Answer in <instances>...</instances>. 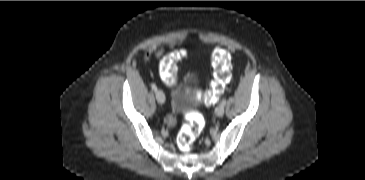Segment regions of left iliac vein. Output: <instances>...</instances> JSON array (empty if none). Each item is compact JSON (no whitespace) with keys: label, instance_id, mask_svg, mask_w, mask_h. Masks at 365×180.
Masks as SVG:
<instances>
[{"label":"left iliac vein","instance_id":"4c4485c4","mask_svg":"<svg viewBox=\"0 0 365 180\" xmlns=\"http://www.w3.org/2000/svg\"><path fill=\"white\" fill-rule=\"evenodd\" d=\"M224 105L219 104L216 108H215V114L219 117H221L224 114Z\"/></svg>","mask_w":365,"mask_h":180}]
</instances>
